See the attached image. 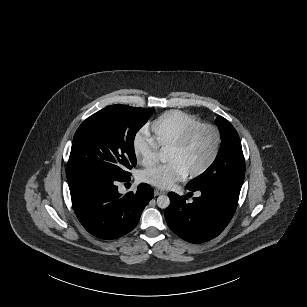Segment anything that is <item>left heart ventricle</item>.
<instances>
[{
    "mask_svg": "<svg viewBox=\"0 0 307 307\" xmlns=\"http://www.w3.org/2000/svg\"><path fill=\"white\" fill-rule=\"evenodd\" d=\"M216 146V135L207 130L201 133L182 151L166 150L163 160L180 165L190 173L203 165L211 156Z\"/></svg>",
    "mask_w": 307,
    "mask_h": 307,
    "instance_id": "1",
    "label": "left heart ventricle"
}]
</instances>
